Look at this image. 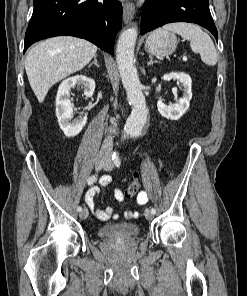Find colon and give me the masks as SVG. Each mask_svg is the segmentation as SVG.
<instances>
[{
    "instance_id": "colon-1",
    "label": "colon",
    "mask_w": 247,
    "mask_h": 296,
    "mask_svg": "<svg viewBox=\"0 0 247 296\" xmlns=\"http://www.w3.org/2000/svg\"><path fill=\"white\" fill-rule=\"evenodd\" d=\"M139 189H140V179L137 176V177H135L133 182L128 186L124 195L127 198H131L136 195V193L139 191Z\"/></svg>"
}]
</instances>
